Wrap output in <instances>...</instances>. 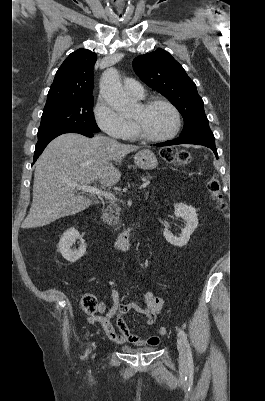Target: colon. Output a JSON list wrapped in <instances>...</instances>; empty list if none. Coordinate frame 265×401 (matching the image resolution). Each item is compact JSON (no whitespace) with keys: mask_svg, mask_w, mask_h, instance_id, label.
Segmentation results:
<instances>
[{"mask_svg":"<svg viewBox=\"0 0 265 401\" xmlns=\"http://www.w3.org/2000/svg\"><path fill=\"white\" fill-rule=\"evenodd\" d=\"M161 157L168 163H172L178 166H182L187 164L190 161L189 154L184 150H179L172 147H167L161 150ZM207 190L216 203L217 207L220 210H224L226 208V204L223 200L221 194V186L218 178L216 176H211L207 181ZM82 308L88 314H94L97 310L100 309V304L97 299L93 295H85L82 298ZM167 329L165 327H161L159 329L160 335H166Z\"/></svg>","mask_w":265,"mask_h":401,"instance_id":"1","label":"colon"}]
</instances>
